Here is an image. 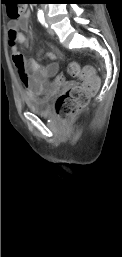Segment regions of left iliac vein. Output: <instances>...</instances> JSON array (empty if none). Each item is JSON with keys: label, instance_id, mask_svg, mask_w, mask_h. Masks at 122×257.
<instances>
[{"label": "left iliac vein", "instance_id": "obj_1", "mask_svg": "<svg viewBox=\"0 0 122 257\" xmlns=\"http://www.w3.org/2000/svg\"><path fill=\"white\" fill-rule=\"evenodd\" d=\"M46 22H47L48 25L50 24L48 19L46 20ZM48 33L50 35H54V31L50 27H48Z\"/></svg>", "mask_w": 122, "mask_h": 257}]
</instances>
